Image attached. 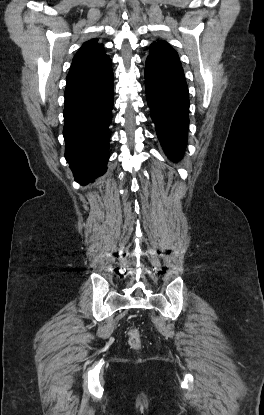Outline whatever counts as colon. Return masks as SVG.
I'll return each instance as SVG.
<instances>
[{
	"label": "colon",
	"instance_id": "5ec220e1",
	"mask_svg": "<svg viewBox=\"0 0 264 415\" xmlns=\"http://www.w3.org/2000/svg\"><path fill=\"white\" fill-rule=\"evenodd\" d=\"M129 344L133 347V348H138L140 345V336H139V332L136 329H133L130 331L129 333Z\"/></svg>",
	"mask_w": 264,
	"mask_h": 415
}]
</instances>
